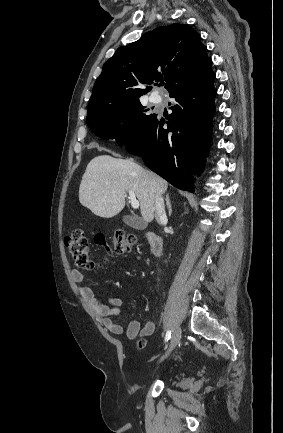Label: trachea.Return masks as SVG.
I'll return each instance as SVG.
<instances>
[{
    "label": "trachea",
    "instance_id": "trachea-1",
    "mask_svg": "<svg viewBox=\"0 0 283 433\" xmlns=\"http://www.w3.org/2000/svg\"><path fill=\"white\" fill-rule=\"evenodd\" d=\"M163 85H164V82H161V83L159 84V86H161V87H163Z\"/></svg>",
    "mask_w": 283,
    "mask_h": 433
}]
</instances>
